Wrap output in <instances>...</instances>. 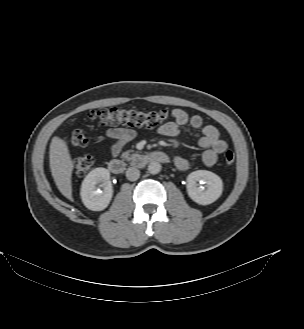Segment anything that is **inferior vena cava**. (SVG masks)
<instances>
[{"label": "inferior vena cava", "mask_w": 304, "mask_h": 329, "mask_svg": "<svg viewBox=\"0 0 304 329\" xmlns=\"http://www.w3.org/2000/svg\"><path fill=\"white\" fill-rule=\"evenodd\" d=\"M140 176V171L135 167H129L126 171V177L130 181H136Z\"/></svg>", "instance_id": "obj_1"}]
</instances>
